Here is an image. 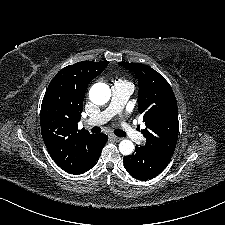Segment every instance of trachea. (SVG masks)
<instances>
[{"mask_svg":"<svg viewBox=\"0 0 225 225\" xmlns=\"http://www.w3.org/2000/svg\"><path fill=\"white\" fill-rule=\"evenodd\" d=\"M91 132L99 133V132H101V128L95 126V127L91 128ZM114 134L118 137H125L126 136V133L122 130H119V129L114 130Z\"/></svg>","mask_w":225,"mask_h":225,"instance_id":"1","label":"trachea"}]
</instances>
